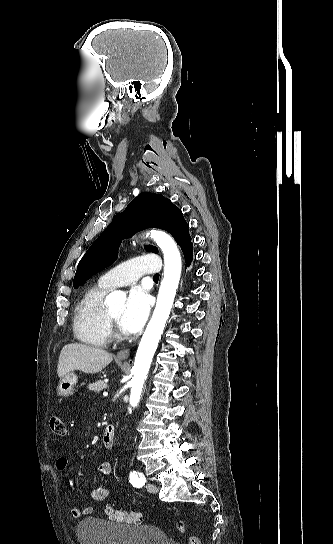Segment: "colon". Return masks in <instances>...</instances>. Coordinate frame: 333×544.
<instances>
[{"instance_id": "obj_1", "label": "colon", "mask_w": 333, "mask_h": 544, "mask_svg": "<svg viewBox=\"0 0 333 544\" xmlns=\"http://www.w3.org/2000/svg\"><path fill=\"white\" fill-rule=\"evenodd\" d=\"M50 427L52 432L58 436H65L67 429L64 421L60 417H53L50 420ZM105 514L108 518L132 525H139L143 523V516L139 512H133L128 510L115 509L112 506H108L105 509ZM179 531L183 532L186 529V525L183 522L177 524ZM188 544H201L199 539L195 536H191L188 540Z\"/></svg>"}]
</instances>
